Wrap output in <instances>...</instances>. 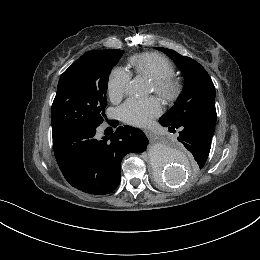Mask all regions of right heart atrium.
Segmentation results:
<instances>
[{"label": "right heart atrium", "instance_id": "1", "mask_svg": "<svg viewBox=\"0 0 260 260\" xmlns=\"http://www.w3.org/2000/svg\"><path fill=\"white\" fill-rule=\"evenodd\" d=\"M130 81V73L121 67H114L109 75L107 91L109 98L120 101L126 93Z\"/></svg>", "mask_w": 260, "mask_h": 260}]
</instances>
